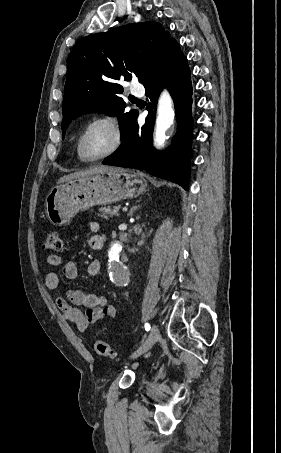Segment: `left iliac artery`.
<instances>
[{
  "label": "left iliac artery",
  "instance_id": "44dca946",
  "mask_svg": "<svg viewBox=\"0 0 281 453\" xmlns=\"http://www.w3.org/2000/svg\"><path fill=\"white\" fill-rule=\"evenodd\" d=\"M150 328H151V327H150V324H149V323H145V330H146V331H149Z\"/></svg>",
  "mask_w": 281,
  "mask_h": 453
}]
</instances>
